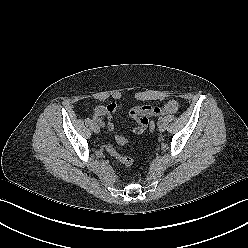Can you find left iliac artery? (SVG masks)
<instances>
[{"mask_svg":"<svg viewBox=\"0 0 248 248\" xmlns=\"http://www.w3.org/2000/svg\"><path fill=\"white\" fill-rule=\"evenodd\" d=\"M158 120H159V122H162V121H163V118H162V117H160Z\"/></svg>","mask_w":248,"mask_h":248,"instance_id":"44dca946","label":"left iliac artery"}]
</instances>
